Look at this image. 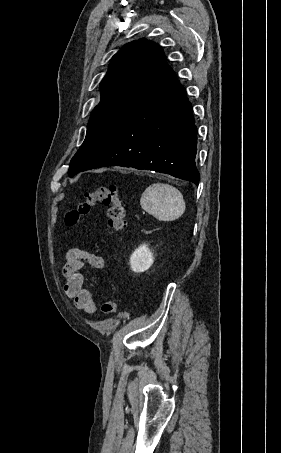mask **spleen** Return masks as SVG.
Masks as SVG:
<instances>
[{
    "instance_id": "obj_1",
    "label": "spleen",
    "mask_w": 281,
    "mask_h": 453,
    "mask_svg": "<svg viewBox=\"0 0 281 453\" xmlns=\"http://www.w3.org/2000/svg\"><path fill=\"white\" fill-rule=\"evenodd\" d=\"M141 206L156 216L158 220H175L182 216L185 210V202L182 192L171 186V184H163L156 182L145 188L141 198Z\"/></svg>"
}]
</instances>
